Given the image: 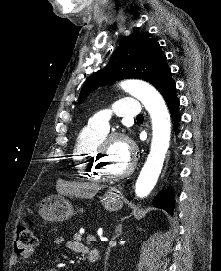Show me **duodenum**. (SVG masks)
Masks as SVG:
<instances>
[{"label":"duodenum","instance_id":"1","mask_svg":"<svg viewBox=\"0 0 221 271\" xmlns=\"http://www.w3.org/2000/svg\"><path fill=\"white\" fill-rule=\"evenodd\" d=\"M88 261L90 263H96L99 259V253L97 250L91 251V253L88 255Z\"/></svg>","mask_w":221,"mask_h":271}]
</instances>
